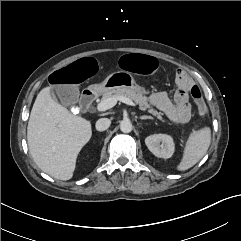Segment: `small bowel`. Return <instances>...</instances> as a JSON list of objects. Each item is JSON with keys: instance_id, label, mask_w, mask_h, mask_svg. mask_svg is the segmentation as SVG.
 <instances>
[{"instance_id": "small-bowel-1", "label": "small bowel", "mask_w": 241, "mask_h": 241, "mask_svg": "<svg viewBox=\"0 0 241 241\" xmlns=\"http://www.w3.org/2000/svg\"><path fill=\"white\" fill-rule=\"evenodd\" d=\"M176 85L177 89L172 97L167 92L159 91L148 97V103L165 113L172 121L185 124L191 118L189 96H192V89L198 86L184 70L177 71Z\"/></svg>"}]
</instances>
